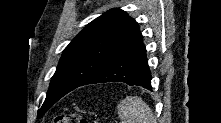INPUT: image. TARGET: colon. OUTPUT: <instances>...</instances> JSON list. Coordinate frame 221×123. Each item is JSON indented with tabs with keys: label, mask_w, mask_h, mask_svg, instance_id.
Segmentation results:
<instances>
[{
	"label": "colon",
	"mask_w": 221,
	"mask_h": 123,
	"mask_svg": "<svg viewBox=\"0 0 221 123\" xmlns=\"http://www.w3.org/2000/svg\"><path fill=\"white\" fill-rule=\"evenodd\" d=\"M54 123H88V121L78 113H61L54 117Z\"/></svg>",
	"instance_id": "colon-1"
}]
</instances>
